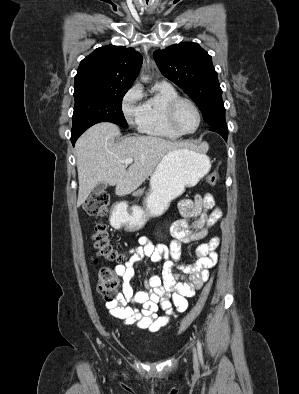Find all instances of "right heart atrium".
Returning a JSON list of instances; mask_svg holds the SVG:
<instances>
[{
    "label": "right heart atrium",
    "instance_id": "obj_1",
    "mask_svg": "<svg viewBox=\"0 0 299 394\" xmlns=\"http://www.w3.org/2000/svg\"><path fill=\"white\" fill-rule=\"evenodd\" d=\"M142 89L139 84L132 86L123 98L122 110L127 122L134 126L138 125L142 111Z\"/></svg>",
    "mask_w": 299,
    "mask_h": 394
}]
</instances>
